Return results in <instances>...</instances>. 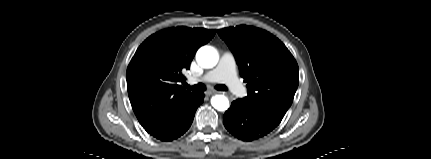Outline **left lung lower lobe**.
Masks as SVG:
<instances>
[{
  "label": "left lung lower lobe",
  "mask_w": 431,
  "mask_h": 159,
  "mask_svg": "<svg viewBox=\"0 0 431 159\" xmlns=\"http://www.w3.org/2000/svg\"><path fill=\"white\" fill-rule=\"evenodd\" d=\"M283 117L272 112L248 106L242 99L232 102L223 115L226 129L243 141H252L271 132Z\"/></svg>",
  "instance_id": "obj_1"
}]
</instances>
